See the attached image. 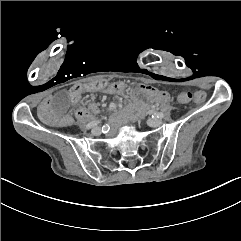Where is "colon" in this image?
<instances>
[{
    "label": "colon",
    "instance_id": "5ec220e1",
    "mask_svg": "<svg viewBox=\"0 0 241 241\" xmlns=\"http://www.w3.org/2000/svg\"><path fill=\"white\" fill-rule=\"evenodd\" d=\"M106 91V86L102 84L100 79H83L81 84H71L70 85V96L73 99H78L79 101L81 98V93H104ZM205 93L203 91H196L193 94L190 92H182L180 94V101L182 103H190L192 98L195 99L197 104H202L204 102Z\"/></svg>",
    "mask_w": 241,
    "mask_h": 241
}]
</instances>
